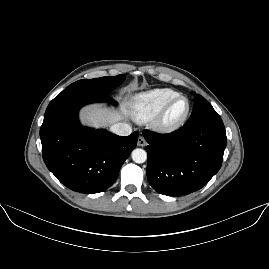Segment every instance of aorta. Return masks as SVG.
Segmentation results:
<instances>
[{"label":"aorta","instance_id":"obj_1","mask_svg":"<svg viewBox=\"0 0 269 269\" xmlns=\"http://www.w3.org/2000/svg\"><path fill=\"white\" fill-rule=\"evenodd\" d=\"M132 159L136 163H144L147 159V153L143 149H134L132 151Z\"/></svg>","mask_w":269,"mask_h":269}]
</instances>
